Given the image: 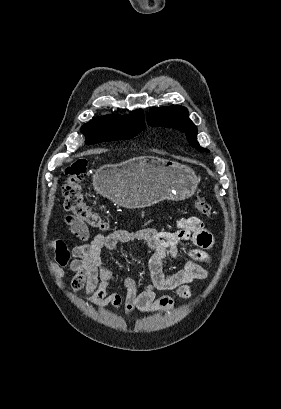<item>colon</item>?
I'll return each mask as SVG.
<instances>
[{
	"mask_svg": "<svg viewBox=\"0 0 281 409\" xmlns=\"http://www.w3.org/2000/svg\"><path fill=\"white\" fill-rule=\"evenodd\" d=\"M88 162L85 158H78L65 169L66 180L62 188L65 196L64 208L73 216L74 227L78 233L88 228L107 231L109 222L98 211L92 209L84 200L82 180L85 177ZM197 211L205 216L211 215L210 205L198 196L194 201Z\"/></svg>",
	"mask_w": 281,
	"mask_h": 409,
	"instance_id": "5ec220e1",
	"label": "colon"
}]
</instances>
